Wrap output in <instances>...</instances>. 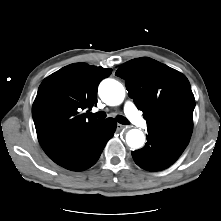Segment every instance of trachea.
<instances>
[{"label": "trachea", "instance_id": "3493384b", "mask_svg": "<svg viewBox=\"0 0 221 221\" xmlns=\"http://www.w3.org/2000/svg\"><path fill=\"white\" fill-rule=\"evenodd\" d=\"M90 116L95 117V118H99V119H104V118H106V113L103 111H100L97 113H91ZM116 120H117V122H119L120 124H123V125L129 124V121L122 115H117Z\"/></svg>", "mask_w": 221, "mask_h": 221}]
</instances>
